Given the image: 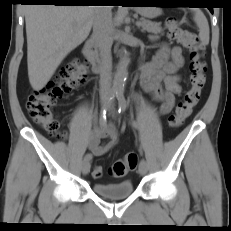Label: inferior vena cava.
I'll use <instances>...</instances> for the list:
<instances>
[{"mask_svg": "<svg viewBox=\"0 0 231 231\" xmlns=\"http://www.w3.org/2000/svg\"><path fill=\"white\" fill-rule=\"evenodd\" d=\"M112 12L110 6H95L93 13V37L101 57L100 92L111 91L112 70Z\"/></svg>", "mask_w": 231, "mask_h": 231, "instance_id": "obj_1", "label": "inferior vena cava"}]
</instances>
